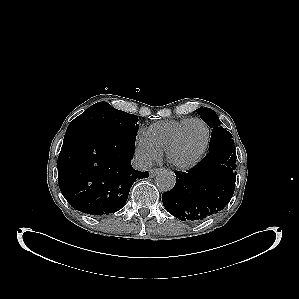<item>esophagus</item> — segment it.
I'll return each mask as SVG.
<instances>
[{
	"label": "esophagus",
	"mask_w": 299,
	"mask_h": 299,
	"mask_svg": "<svg viewBox=\"0 0 299 299\" xmlns=\"http://www.w3.org/2000/svg\"><path fill=\"white\" fill-rule=\"evenodd\" d=\"M159 172H161V169H151L149 172V177L153 178L154 176H156Z\"/></svg>",
	"instance_id": "obj_1"
}]
</instances>
